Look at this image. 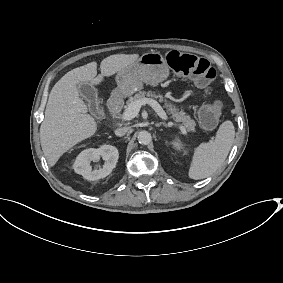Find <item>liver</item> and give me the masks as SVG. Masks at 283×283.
Listing matches in <instances>:
<instances>
[{"mask_svg":"<svg viewBox=\"0 0 283 283\" xmlns=\"http://www.w3.org/2000/svg\"><path fill=\"white\" fill-rule=\"evenodd\" d=\"M138 54H116L101 61V74L97 63L91 62L67 72L52 88L40 127L41 147L50 166L71 147L94 135L97 124L87 114V106L79 97L78 84H99L103 76H111L133 64Z\"/></svg>","mask_w":283,"mask_h":283,"instance_id":"6515ba94","label":"liver"}]
</instances>
